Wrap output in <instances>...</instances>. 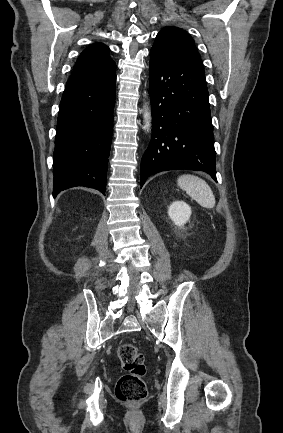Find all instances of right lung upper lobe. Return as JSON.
Wrapping results in <instances>:
<instances>
[{"mask_svg":"<svg viewBox=\"0 0 283 433\" xmlns=\"http://www.w3.org/2000/svg\"><path fill=\"white\" fill-rule=\"evenodd\" d=\"M116 64L109 56V48L95 43L79 56L65 89L102 82L115 76Z\"/></svg>","mask_w":283,"mask_h":433,"instance_id":"1","label":"right lung upper lobe"}]
</instances>
